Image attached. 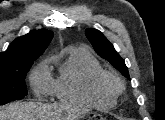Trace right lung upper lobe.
<instances>
[{
	"label": "right lung upper lobe",
	"mask_w": 165,
	"mask_h": 120,
	"mask_svg": "<svg viewBox=\"0 0 165 120\" xmlns=\"http://www.w3.org/2000/svg\"><path fill=\"white\" fill-rule=\"evenodd\" d=\"M52 38V31L32 30L30 33L16 38L5 52L0 53V63L37 59L43 54Z\"/></svg>",
	"instance_id": "right-lung-upper-lobe-1"
}]
</instances>
